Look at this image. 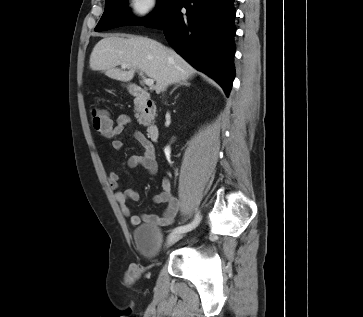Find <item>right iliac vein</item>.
I'll return each instance as SVG.
<instances>
[{
  "label": "right iliac vein",
  "mask_w": 363,
  "mask_h": 317,
  "mask_svg": "<svg viewBox=\"0 0 363 317\" xmlns=\"http://www.w3.org/2000/svg\"><path fill=\"white\" fill-rule=\"evenodd\" d=\"M185 232H173L171 233L168 238H167V242H166V246L170 247L173 244H175L177 241H179Z\"/></svg>",
  "instance_id": "right-iliac-vein-1"
}]
</instances>
